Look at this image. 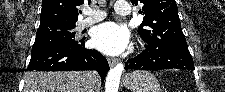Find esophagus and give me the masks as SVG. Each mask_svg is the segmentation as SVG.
<instances>
[{"instance_id": "esophagus-1", "label": "esophagus", "mask_w": 225, "mask_h": 92, "mask_svg": "<svg viewBox=\"0 0 225 92\" xmlns=\"http://www.w3.org/2000/svg\"><path fill=\"white\" fill-rule=\"evenodd\" d=\"M108 63H109L110 67H114L117 63V59L116 58H109Z\"/></svg>"}]
</instances>
